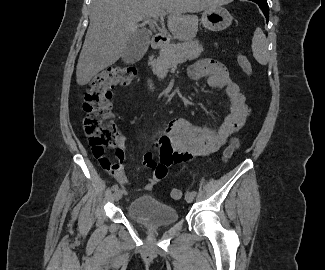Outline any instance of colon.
Returning <instances> with one entry per match:
<instances>
[{"label": "colon", "instance_id": "obj_1", "mask_svg": "<svg viewBox=\"0 0 325 270\" xmlns=\"http://www.w3.org/2000/svg\"><path fill=\"white\" fill-rule=\"evenodd\" d=\"M237 61L243 72L251 76L252 65L248 58L239 54ZM136 75L133 67H109L97 74L88 85L84 95L83 110L86 113L84 118V130L87 135L91 151L101 165L106 169H115L117 163H111L105 156L106 148L115 145L118 132L112 114V92L116 85H128ZM239 146L238 138H233L223 153L224 160H228ZM170 196L174 200L182 197V191L172 189Z\"/></svg>", "mask_w": 325, "mask_h": 270}]
</instances>
